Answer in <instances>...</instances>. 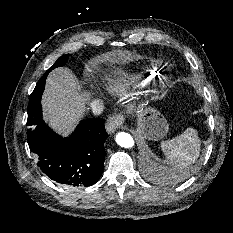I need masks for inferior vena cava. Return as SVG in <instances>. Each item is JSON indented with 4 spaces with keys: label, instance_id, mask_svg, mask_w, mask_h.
<instances>
[{
    "label": "inferior vena cava",
    "instance_id": "obj_1",
    "mask_svg": "<svg viewBox=\"0 0 233 233\" xmlns=\"http://www.w3.org/2000/svg\"><path fill=\"white\" fill-rule=\"evenodd\" d=\"M90 107H91L92 112H93L95 115L101 114V113L103 112V109H104L103 102L100 101V100H93V101L90 103Z\"/></svg>",
    "mask_w": 233,
    "mask_h": 233
}]
</instances>
